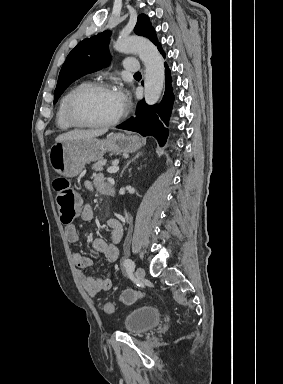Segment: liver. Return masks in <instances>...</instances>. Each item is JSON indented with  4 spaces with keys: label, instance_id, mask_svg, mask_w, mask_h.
Wrapping results in <instances>:
<instances>
[{
    "label": "liver",
    "instance_id": "liver-1",
    "mask_svg": "<svg viewBox=\"0 0 283 384\" xmlns=\"http://www.w3.org/2000/svg\"><path fill=\"white\" fill-rule=\"evenodd\" d=\"M107 130H72V132H66L57 136L55 142H69V140H85V138H97V136H103Z\"/></svg>",
    "mask_w": 283,
    "mask_h": 384
}]
</instances>
